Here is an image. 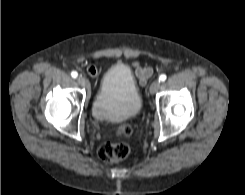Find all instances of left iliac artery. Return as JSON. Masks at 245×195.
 <instances>
[{"instance_id": "obj_1", "label": "left iliac artery", "mask_w": 245, "mask_h": 195, "mask_svg": "<svg viewBox=\"0 0 245 195\" xmlns=\"http://www.w3.org/2000/svg\"><path fill=\"white\" fill-rule=\"evenodd\" d=\"M167 76L165 74H162L160 77H159V81L161 82H164L166 80Z\"/></svg>"}]
</instances>
